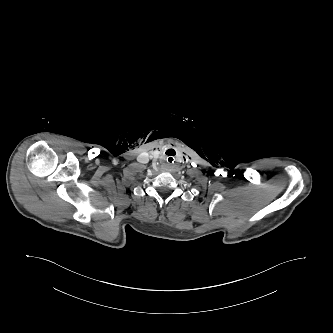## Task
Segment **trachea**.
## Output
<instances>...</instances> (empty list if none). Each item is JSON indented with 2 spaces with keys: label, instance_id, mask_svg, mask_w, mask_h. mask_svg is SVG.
<instances>
[{
  "label": "trachea",
  "instance_id": "1",
  "mask_svg": "<svg viewBox=\"0 0 333 333\" xmlns=\"http://www.w3.org/2000/svg\"><path fill=\"white\" fill-rule=\"evenodd\" d=\"M164 161L168 165H175L179 161V156L175 152H168L164 156Z\"/></svg>",
  "mask_w": 333,
  "mask_h": 333
}]
</instances>
